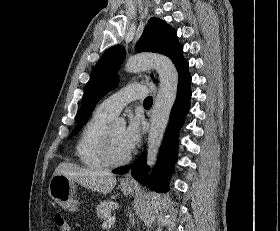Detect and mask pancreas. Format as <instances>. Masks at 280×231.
Masks as SVG:
<instances>
[{
  "label": "pancreas",
  "mask_w": 280,
  "mask_h": 231,
  "mask_svg": "<svg viewBox=\"0 0 280 231\" xmlns=\"http://www.w3.org/2000/svg\"><path fill=\"white\" fill-rule=\"evenodd\" d=\"M118 203L116 201H101V203H98L96 209V213L98 217H103V219H106L108 215H111V209L112 207H117Z\"/></svg>",
  "instance_id": "obj_1"
}]
</instances>
